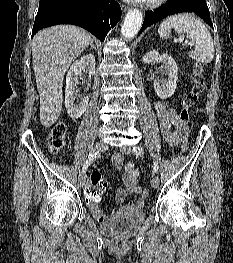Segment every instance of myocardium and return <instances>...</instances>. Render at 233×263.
<instances>
[{"instance_id":"1","label":"myocardium","mask_w":233,"mask_h":263,"mask_svg":"<svg viewBox=\"0 0 233 263\" xmlns=\"http://www.w3.org/2000/svg\"><path fill=\"white\" fill-rule=\"evenodd\" d=\"M166 0H145L143 6L147 9H155L161 6Z\"/></svg>"}]
</instances>
